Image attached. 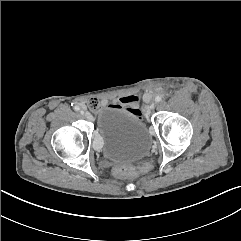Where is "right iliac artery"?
<instances>
[{
	"label": "right iliac artery",
	"instance_id": "obj_1",
	"mask_svg": "<svg viewBox=\"0 0 241 241\" xmlns=\"http://www.w3.org/2000/svg\"><path fill=\"white\" fill-rule=\"evenodd\" d=\"M74 110H75V111H79V110H80V107H79V106H75V107H74Z\"/></svg>",
	"mask_w": 241,
	"mask_h": 241
}]
</instances>
